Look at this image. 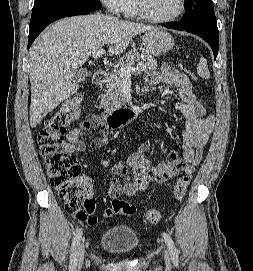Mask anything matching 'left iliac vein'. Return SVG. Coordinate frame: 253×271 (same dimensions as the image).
I'll list each match as a JSON object with an SVG mask.
<instances>
[{"label": "left iliac vein", "instance_id": "1", "mask_svg": "<svg viewBox=\"0 0 253 271\" xmlns=\"http://www.w3.org/2000/svg\"><path fill=\"white\" fill-rule=\"evenodd\" d=\"M164 258H165V262H166V264L167 265H169V256H168V253L165 251V253H164Z\"/></svg>", "mask_w": 253, "mask_h": 271}]
</instances>
